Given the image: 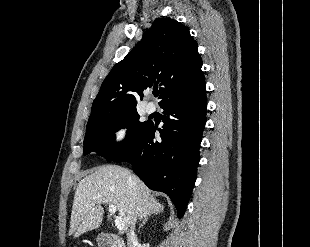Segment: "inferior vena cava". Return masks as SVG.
I'll return each mask as SVG.
<instances>
[{
	"label": "inferior vena cava",
	"instance_id": "1",
	"mask_svg": "<svg viewBox=\"0 0 310 247\" xmlns=\"http://www.w3.org/2000/svg\"><path fill=\"white\" fill-rule=\"evenodd\" d=\"M128 241H129L130 247H132L133 244L137 243V236L134 233V227H131V231H130V235H129Z\"/></svg>",
	"mask_w": 310,
	"mask_h": 247
}]
</instances>
